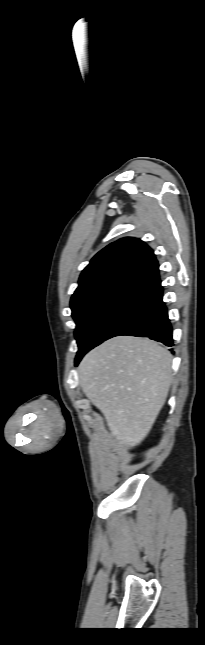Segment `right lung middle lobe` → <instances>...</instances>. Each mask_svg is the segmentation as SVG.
Returning a JSON list of instances; mask_svg holds the SVG:
<instances>
[{"label": "right lung middle lobe", "mask_w": 205, "mask_h": 645, "mask_svg": "<svg viewBox=\"0 0 205 645\" xmlns=\"http://www.w3.org/2000/svg\"><path fill=\"white\" fill-rule=\"evenodd\" d=\"M148 296L149 290L123 287L72 304L79 347L76 361L102 343L114 328L143 305Z\"/></svg>", "instance_id": "1"}]
</instances>
